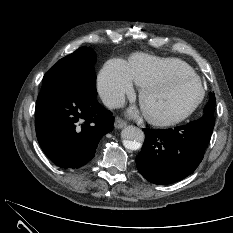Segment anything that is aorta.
Instances as JSON below:
<instances>
[{"mask_svg": "<svg viewBox=\"0 0 233 233\" xmlns=\"http://www.w3.org/2000/svg\"><path fill=\"white\" fill-rule=\"evenodd\" d=\"M123 144L127 149L138 150L145 139L144 132L136 126H127L121 132Z\"/></svg>", "mask_w": 233, "mask_h": 233, "instance_id": "obj_1", "label": "aorta"}]
</instances>
